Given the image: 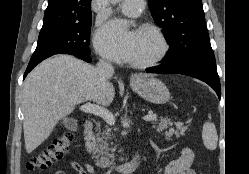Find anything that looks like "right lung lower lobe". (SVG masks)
Segmentation results:
<instances>
[{
  "label": "right lung lower lobe",
  "instance_id": "98d812e1",
  "mask_svg": "<svg viewBox=\"0 0 249 174\" xmlns=\"http://www.w3.org/2000/svg\"><path fill=\"white\" fill-rule=\"evenodd\" d=\"M70 55H73V56H75V57H77V58H80V59H82V60H84V61H86V62H88V63H90L91 62V57H90V54H82V53H69ZM48 57H50V56H48ZM48 57H45V58H42V59H40V60H38V61H36V62H29V64H28V67H27V69H26V72H25V75H24V78L26 77V75L37 65V64H39L41 61H43L44 59H46V58H48Z\"/></svg>",
  "mask_w": 249,
  "mask_h": 174
}]
</instances>
